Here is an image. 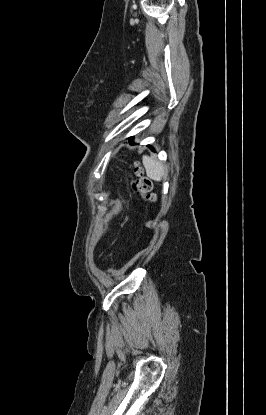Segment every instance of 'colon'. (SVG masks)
Wrapping results in <instances>:
<instances>
[{"label":"colon","instance_id":"colon-1","mask_svg":"<svg viewBox=\"0 0 266 415\" xmlns=\"http://www.w3.org/2000/svg\"><path fill=\"white\" fill-rule=\"evenodd\" d=\"M134 174L136 179L133 181V188L145 201H153L154 195L152 193V183L147 178L143 177L142 170L139 166H135Z\"/></svg>","mask_w":266,"mask_h":415}]
</instances>
